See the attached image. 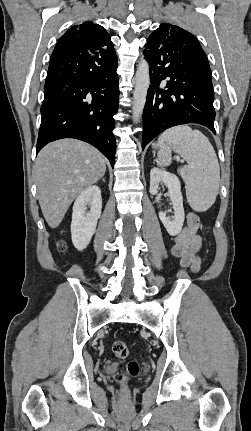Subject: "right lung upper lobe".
Masks as SVG:
<instances>
[{
  "label": "right lung upper lobe",
  "mask_w": 251,
  "mask_h": 431,
  "mask_svg": "<svg viewBox=\"0 0 251 431\" xmlns=\"http://www.w3.org/2000/svg\"><path fill=\"white\" fill-rule=\"evenodd\" d=\"M55 49L73 54L97 52L106 62L117 58L109 34L92 21L71 27L59 39Z\"/></svg>",
  "instance_id": "cb5924a9"
}]
</instances>
